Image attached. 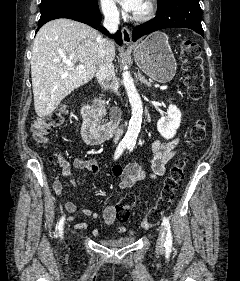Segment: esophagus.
<instances>
[{"instance_id": "34e87169", "label": "esophagus", "mask_w": 240, "mask_h": 281, "mask_svg": "<svg viewBox=\"0 0 240 281\" xmlns=\"http://www.w3.org/2000/svg\"><path fill=\"white\" fill-rule=\"evenodd\" d=\"M121 33L124 44L128 46L132 45V37L130 30L127 27H123Z\"/></svg>"}]
</instances>
